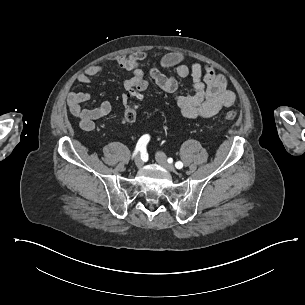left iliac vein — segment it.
Segmentation results:
<instances>
[{
	"mask_svg": "<svg viewBox=\"0 0 305 305\" xmlns=\"http://www.w3.org/2000/svg\"><path fill=\"white\" fill-rule=\"evenodd\" d=\"M155 157H156L157 162L166 170L171 171V172H173L175 170V167L172 164L167 162V159H166V156L164 153L158 152Z\"/></svg>",
	"mask_w": 305,
	"mask_h": 305,
	"instance_id": "left-iliac-vein-1",
	"label": "left iliac vein"
}]
</instances>
